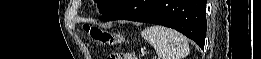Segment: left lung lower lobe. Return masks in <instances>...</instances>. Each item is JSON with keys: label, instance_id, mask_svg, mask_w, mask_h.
I'll list each match as a JSON object with an SVG mask.
<instances>
[{"label": "left lung lower lobe", "instance_id": "obj_1", "mask_svg": "<svg viewBox=\"0 0 261 59\" xmlns=\"http://www.w3.org/2000/svg\"><path fill=\"white\" fill-rule=\"evenodd\" d=\"M99 19L132 20L167 26L204 48L206 0H122Z\"/></svg>", "mask_w": 261, "mask_h": 59}]
</instances>
